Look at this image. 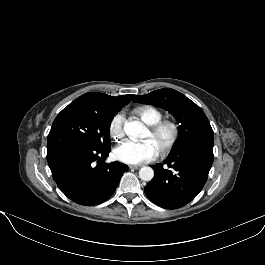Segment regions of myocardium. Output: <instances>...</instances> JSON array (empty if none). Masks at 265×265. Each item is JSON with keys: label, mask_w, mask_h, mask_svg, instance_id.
<instances>
[{"label": "myocardium", "mask_w": 265, "mask_h": 265, "mask_svg": "<svg viewBox=\"0 0 265 265\" xmlns=\"http://www.w3.org/2000/svg\"><path fill=\"white\" fill-rule=\"evenodd\" d=\"M164 130L169 131L168 140L158 149L161 155L167 154L173 149L180 136L179 126L172 120H161L153 125H149L148 131L152 137H157Z\"/></svg>", "instance_id": "f54148a6"}]
</instances>
